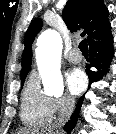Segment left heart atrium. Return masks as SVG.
<instances>
[{
    "label": "left heart atrium",
    "mask_w": 116,
    "mask_h": 134,
    "mask_svg": "<svg viewBox=\"0 0 116 134\" xmlns=\"http://www.w3.org/2000/svg\"><path fill=\"white\" fill-rule=\"evenodd\" d=\"M66 84L69 92L72 95H77L81 93L87 85L86 75L81 69H73L69 71L66 76Z\"/></svg>",
    "instance_id": "left-heart-atrium-1"
}]
</instances>
